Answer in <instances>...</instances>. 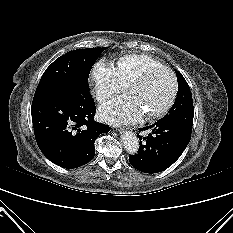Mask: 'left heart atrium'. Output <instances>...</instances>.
I'll list each match as a JSON object with an SVG mask.
<instances>
[{
	"mask_svg": "<svg viewBox=\"0 0 233 233\" xmlns=\"http://www.w3.org/2000/svg\"><path fill=\"white\" fill-rule=\"evenodd\" d=\"M99 115L113 124H127L136 122L143 113L135 96L129 93L102 105Z\"/></svg>",
	"mask_w": 233,
	"mask_h": 233,
	"instance_id": "1",
	"label": "left heart atrium"
}]
</instances>
